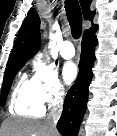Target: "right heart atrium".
Returning a JSON list of instances; mask_svg holds the SVG:
<instances>
[{"instance_id":"obj_1","label":"right heart atrium","mask_w":117,"mask_h":136,"mask_svg":"<svg viewBox=\"0 0 117 136\" xmlns=\"http://www.w3.org/2000/svg\"><path fill=\"white\" fill-rule=\"evenodd\" d=\"M31 83L33 93L43 107L59 103L65 95V87L57 72L40 57L33 60Z\"/></svg>"}]
</instances>
